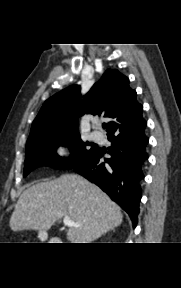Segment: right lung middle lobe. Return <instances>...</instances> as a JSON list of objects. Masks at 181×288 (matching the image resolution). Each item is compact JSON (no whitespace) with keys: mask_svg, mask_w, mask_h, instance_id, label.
<instances>
[{"mask_svg":"<svg viewBox=\"0 0 181 288\" xmlns=\"http://www.w3.org/2000/svg\"><path fill=\"white\" fill-rule=\"evenodd\" d=\"M65 145L73 148V154L62 158L56 154V148ZM80 139L79 133L52 132L29 139L26 144V158L23 176L41 166L57 169H72L90 157L96 147L88 149Z\"/></svg>","mask_w":181,"mask_h":288,"instance_id":"right-lung-middle-lobe-1","label":"right lung middle lobe"}]
</instances>
